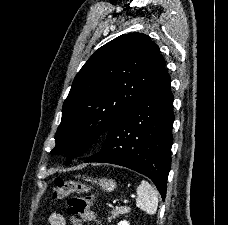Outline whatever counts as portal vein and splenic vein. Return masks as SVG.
<instances>
[{
    "mask_svg": "<svg viewBox=\"0 0 228 225\" xmlns=\"http://www.w3.org/2000/svg\"><path fill=\"white\" fill-rule=\"evenodd\" d=\"M132 200H138V195H132ZM119 202V197H114V200H111V202H107V207H115L116 203ZM124 205H130V200H124Z\"/></svg>",
    "mask_w": 228,
    "mask_h": 225,
    "instance_id": "18ae733b",
    "label": "portal vein and splenic vein"
}]
</instances>
